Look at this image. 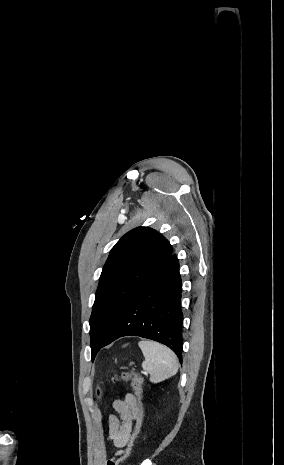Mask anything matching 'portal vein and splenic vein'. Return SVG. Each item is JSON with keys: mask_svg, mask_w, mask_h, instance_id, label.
Returning <instances> with one entry per match:
<instances>
[{"mask_svg": "<svg viewBox=\"0 0 284 465\" xmlns=\"http://www.w3.org/2000/svg\"><path fill=\"white\" fill-rule=\"evenodd\" d=\"M143 375H148V373H146V371H142Z\"/></svg>", "mask_w": 284, "mask_h": 465, "instance_id": "obj_1", "label": "portal vein and splenic vein"}]
</instances>
